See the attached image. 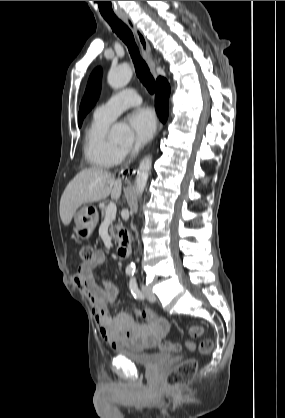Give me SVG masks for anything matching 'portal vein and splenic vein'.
Returning <instances> with one entry per match:
<instances>
[{
    "instance_id": "portal-vein-and-splenic-vein-1",
    "label": "portal vein and splenic vein",
    "mask_w": 285,
    "mask_h": 418,
    "mask_svg": "<svg viewBox=\"0 0 285 418\" xmlns=\"http://www.w3.org/2000/svg\"><path fill=\"white\" fill-rule=\"evenodd\" d=\"M117 207L115 203H109L105 213V221H112L116 217Z\"/></svg>"
}]
</instances>
